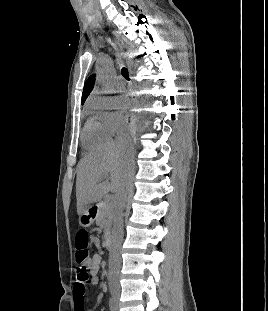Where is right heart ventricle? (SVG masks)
Returning a JSON list of instances; mask_svg holds the SVG:
<instances>
[{
    "label": "right heart ventricle",
    "mask_w": 268,
    "mask_h": 311,
    "mask_svg": "<svg viewBox=\"0 0 268 311\" xmlns=\"http://www.w3.org/2000/svg\"><path fill=\"white\" fill-rule=\"evenodd\" d=\"M111 139V135L105 131L102 125L95 119L90 118L86 121L82 143L87 149H96L106 145Z\"/></svg>",
    "instance_id": "1"
}]
</instances>
